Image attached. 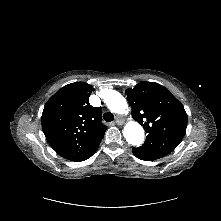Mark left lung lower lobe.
I'll use <instances>...</instances> for the list:
<instances>
[{
	"label": "left lung lower lobe",
	"instance_id": "1",
	"mask_svg": "<svg viewBox=\"0 0 221 221\" xmlns=\"http://www.w3.org/2000/svg\"><path fill=\"white\" fill-rule=\"evenodd\" d=\"M133 154H134L137 158H139V159L146 160V161H150L149 159H146V158H143L142 156H140V155L135 151L134 148H133Z\"/></svg>",
	"mask_w": 221,
	"mask_h": 221
}]
</instances>
